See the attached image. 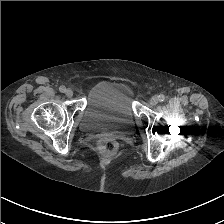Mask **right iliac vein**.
<instances>
[{
	"label": "right iliac vein",
	"instance_id": "obj_1",
	"mask_svg": "<svg viewBox=\"0 0 224 224\" xmlns=\"http://www.w3.org/2000/svg\"><path fill=\"white\" fill-rule=\"evenodd\" d=\"M65 94H66L67 97L70 98V97L73 96V91L71 89H67L66 92H65Z\"/></svg>",
	"mask_w": 224,
	"mask_h": 224
}]
</instances>
